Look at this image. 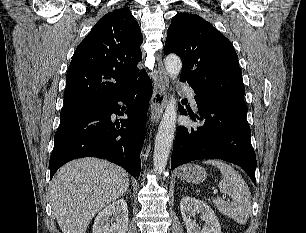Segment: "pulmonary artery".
<instances>
[{
  "label": "pulmonary artery",
  "instance_id": "obj_1",
  "mask_svg": "<svg viewBox=\"0 0 306 233\" xmlns=\"http://www.w3.org/2000/svg\"><path fill=\"white\" fill-rule=\"evenodd\" d=\"M179 88L188 96L192 105L196 107V102L194 98V90L191 87L183 85V84H180Z\"/></svg>",
  "mask_w": 306,
  "mask_h": 233
}]
</instances>
